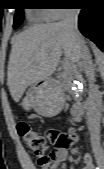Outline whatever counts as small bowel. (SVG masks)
Here are the masks:
<instances>
[{"mask_svg":"<svg viewBox=\"0 0 104 169\" xmlns=\"http://www.w3.org/2000/svg\"><path fill=\"white\" fill-rule=\"evenodd\" d=\"M68 158L67 147H58L51 153L50 164L48 169H65L66 161ZM83 167L82 169H94L93 160L90 154H84L82 157ZM45 166H41V169H47Z\"/></svg>","mask_w":104,"mask_h":169,"instance_id":"small-bowel-1","label":"small bowel"}]
</instances>
